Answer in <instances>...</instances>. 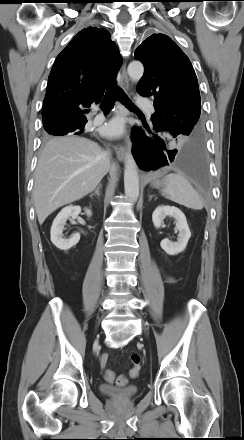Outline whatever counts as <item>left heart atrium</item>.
Masks as SVG:
<instances>
[{"instance_id": "left-heart-atrium-1", "label": "left heart atrium", "mask_w": 244, "mask_h": 440, "mask_svg": "<svg viewBox=\"0 0 244 440\" xmlns=\"http://www.w3.org/2000/svg\"><path fill=\"white\" fill-rule=\"evenodd\" d=\"M124 132V121L120 117H116L101 127V133L107 138H118Z\"/></svg>"}]
</instances>
